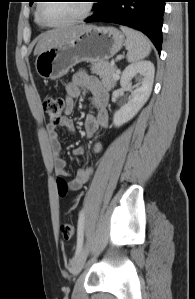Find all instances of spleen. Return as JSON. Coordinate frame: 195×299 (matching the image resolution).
<instances>
[{
	"instance_id": "obj_1",
	"label": "spleen",
	"mask_w": 195,
	"mask_h": 299,
	"mask_svg": "<svg viewBox=\"0 0 195 299\" xmlns=\"http://www.w3.org/2000/svg\"><path fill=\"white\" fill-rule=\"evenodd\" d=\"M121 30L125 33L127 60L130 63L138 62L147 57L151 51V43L142 33L131 28L121 26Z\"/></svg>"
}]
</instances>
